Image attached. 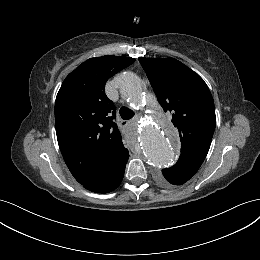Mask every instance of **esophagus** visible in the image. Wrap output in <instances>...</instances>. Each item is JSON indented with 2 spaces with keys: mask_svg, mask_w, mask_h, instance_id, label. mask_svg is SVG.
Here are the masks:
<instances>
[{
  "mask_svg": "<svg viewBox=\"0 0 260 260\" xmlns=\"http://www.w3.org/2000/svg\"><path fill=\"white\" fill-rule=\"evenodd\" d=\"M126 123H127L126 121H121L122 126L126 125Z\"/></svg>",
  "mask_w": 260,
  "mask_h": 260,
  "instance_id": "34e87169",
  "label": "esophagus"
}]
</instances>
